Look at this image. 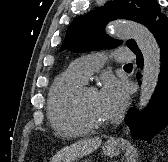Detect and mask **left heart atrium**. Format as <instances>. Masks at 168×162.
Masks as SVG:
<instances>
[{"mask_svg":"<svg viewBox=\"0 0 168 162\" xmlns=\"http://www.w3.org/2000/svg\"><path fill=\"white\" fill-rule=\"evenodd\" d=\"M97 93L102 112L107 120L119 115L127 103L126 86L113 77L105 78L102 88Z\"/></svg>","mask_w":168,"mask_h":162,"instance_id":"1","label":"left heart atrium"}]
</instances>
